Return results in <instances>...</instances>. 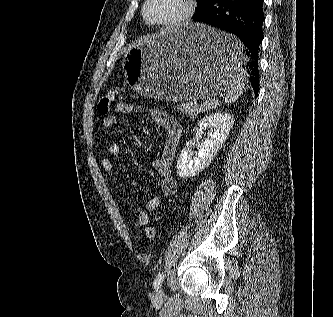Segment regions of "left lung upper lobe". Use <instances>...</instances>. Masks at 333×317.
<instances>
[{"label": "left lung upper lobe", "instance_id": "1", "mask_svg": "<svg viewBox=\"0 0 333 317\" xmlns=\"http://www.w3.org/2000/svg\"><path fill=\"white\" fill-rule=\"evenodd\" d=\"M211 0H196L197 2V9L196 14L202 12L210 3Z\"/></svg>", "mask_w": 333, "mask_h": 317}]
</instances>
